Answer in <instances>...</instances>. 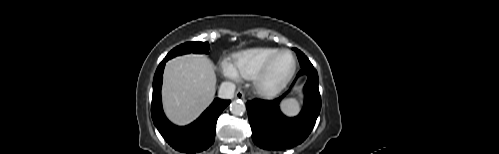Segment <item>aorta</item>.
<instances>
[{"mask_svg":"<svg viewBox=\"0 0 499 154\" xmlns=\"http://www.w3.org/2000/svg\"><path fill=\"white\" fill-rule=\"evenodd\" d=\"M245 111H246L245 104L241 100H234L230 104V112L233 115H242Z\"/></svg>","mask_w":499,"mask_h":154,"instance_id":"aorta-1","label":"aorta"}]
</instances>
